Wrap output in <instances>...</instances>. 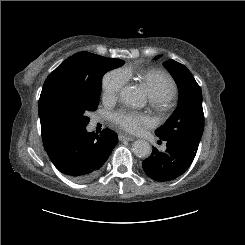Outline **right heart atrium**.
<instances>
[{"label": "right heart atrium", "mask_w": 245, "mask_h": 245, "mask_svg": "<svg viewBox=\"0 0 245 245\" xmlns=\"http://www.w3.org/2000/svg\"><path fill=\"white\" fill-rule=\"evenodd\" d=\"M126 82V75L122 69H114L107 72L102 80L104 98L116 97Z\"/></svg>", "instance_id": "right-heart-atrium-1"}]
</instances>
